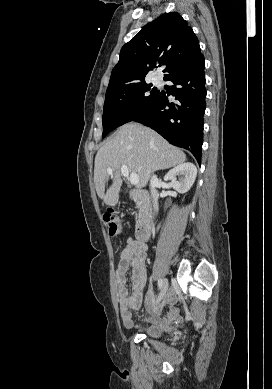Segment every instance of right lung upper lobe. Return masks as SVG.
I'll return each mask as SVG.
<instances>
[{
    "label": "right lung upper lobe",
    "instance_id": "1",
    "mask_svg": "<svg viewBox=\"0 0 272 389\" xmlns=\"http://www.w3.org/2000/svg\"><path fill=\"white\" fill-rule=\"evenodd\" d=\"M201 56L199 41L181 15L164 13L122 47L106 92L144 82L161 65L165 79Z\"/></svg>",
    "mask_w": 272,
    "mask_h": 389
}]
</instances>
